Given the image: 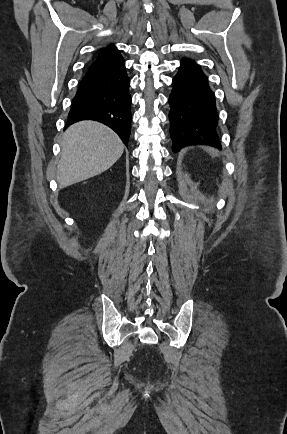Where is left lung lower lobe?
Here are the masks:
<instances>
[{
	"label": "left lung lower lobe",
	"instance_id": "1",
	"mask_svg": "<svg viewBox=\"0 0 287 434\" xmlns=\"http://www.w3.org/2000/svg\"><path fill=\"white\" fill-rule=\"evenodd\" d=\"M172 149L207 144L220 148L215 95L200 66L183 59L169 96Z\"/></svg>",
	"mask_w": 287,
	"mask_h": 434
}]
</instances>
